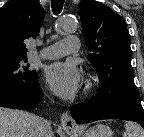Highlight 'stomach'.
I'll return each instance as SVG.
<instances>
[{"mask_svg": "<svg viewBox=\"0 0 144 137\" xmlns=\"http://www.w3.org/2000/svg\"><path fill=\"white\" fill-rule=\"evenodd\" d=\"M80 137H113V132L108 126L97 124L87 129Z\"/></svg>", "mask_w": 144, "mask_h": 137, "instance_id": "obj_1", "label": "stomach"}]
</instances>
